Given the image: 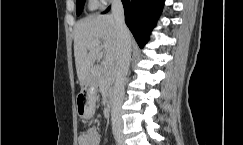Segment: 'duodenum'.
I'll use <instances>...</instances> for the list:
<instances>
[{
    "label": "duodenum",
    "mask_w": 243,
    "mask_h": 145,
    "mask_svg": "<svg viewBox=\"0 0 243 145\" xmlns=\"http://www.w3.org/2000/svg\"><path fill=\"white\" fill-rule=\"evenodd\" d=\"M108 104L110 105V107H113L114 105V96L112 94H110L108 97Z\"/></svg>",
    "instance_id": "obj_1"
}]
</instances>
